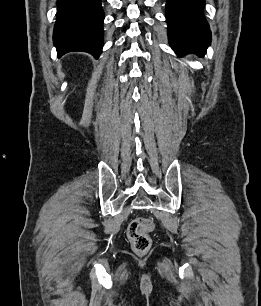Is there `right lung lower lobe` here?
Here are the masks:
<instances>
[{"label":"right lung lower lobe","mask_w":261,"mask_h":306,"mask_svg":"<svg viewBox=\"0 0 261 306\" xmlns=\"http://www.w3.org/2000/svg\"><path fill=\"white\" fill-rule=\"evenodd\" d=\"M53 41L57 54L71 51L100 56L103 46L104 12L100 0H57Z\"/></svg>","instance_id":"obj_1"}]
</instances>
